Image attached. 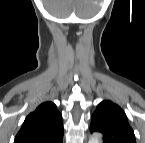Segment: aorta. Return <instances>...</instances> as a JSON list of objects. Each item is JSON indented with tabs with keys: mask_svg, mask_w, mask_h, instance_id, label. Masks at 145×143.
<instances>
[{
	"mask_svg": "<svg viewBox=\"0 0 145 143\" xmlns=\"http://www.w3.org/2000/svg\"><path fill=\"white\" fill-rule=\"evenodd\" d=\"M101 139L100 136L95 134L92 135L91 138L89 139V143H100Z\"/></svg>",
	"mask_w": 145,
	"mask_h": 143,
	"instance_id": "762f6f07",
	"label": "aorta"
}]
</instances>
